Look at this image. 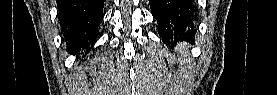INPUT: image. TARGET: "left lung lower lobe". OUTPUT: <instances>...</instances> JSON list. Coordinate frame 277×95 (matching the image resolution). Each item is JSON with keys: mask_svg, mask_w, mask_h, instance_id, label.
<instances>
[{"mask_svg": "<svg viewBox=\"0 0 277 95\" xmlns=\"http://www.w3.org/2000/svg\"><path fill=\"white\" fill-rule=\"evenodd\" d=\"M151 13L158 21V33L170 41H193L196 34V6L193 0H149Z\"/></svg>", "mask_w": 277, "mask_h": 95, "instance_id": "0a47b994", "label": "left lung lower lobe"}]
</instances>
